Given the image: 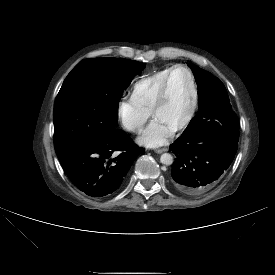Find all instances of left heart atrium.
<instances>
[{
	"mask_svg": "<svg viewBox=\"0 0 275 275\" xmlns=\"http://www.w3.org/2000/svg\"><path fill=\"white\" fill-rule=\"evenodd\" d=\"M174 129L160 118H154L138 137V142L146 147H158L166 144Z\"/></svg>",
	"mask_w": 275,
	"mask_h": 275,
	"instance_id": "39dd6f15",
	"label": "left heart atrium"
}]
</instances>
